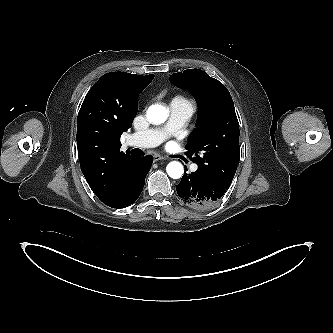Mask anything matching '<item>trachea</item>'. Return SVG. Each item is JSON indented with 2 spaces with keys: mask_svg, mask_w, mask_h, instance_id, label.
<instances>
[{
  "mask_svg": "<svg viewBox=\"0 0 333 333\" xmlns=\"http://www.w3.org/2000/svg\"><path fill=\"white\" fill-rule=\"evenodd\" d=\"M136 152H137V150H135V152H134L135 155H140L139 152H137V153Z\"/></svg>",
  "mask_w": 333,
  "mask_h": 333,
  "instance_id": "obj_1",
  "label": "trachea"
}]
</instances>
